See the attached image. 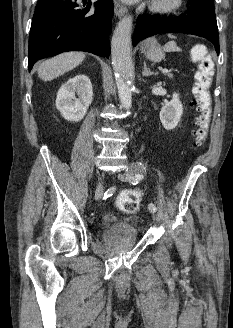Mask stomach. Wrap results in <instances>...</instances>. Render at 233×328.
<instances>
[{"mask_svg": "<svg viewBox=\"0 0 233 328\" xmlns=\"http://www.w3.org/2000/svg\"><path fill=\"white\" fill-rule=\"evenodd\" d=\"M142 52L148 59L154 62H160L164 59L165 54L155 39H149L141 47Z\"/></svg>", "mask_w": 233, "mask_h": 328, "instance_id": "obj_1", "label": "stomach"}]
</instances>
